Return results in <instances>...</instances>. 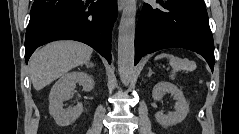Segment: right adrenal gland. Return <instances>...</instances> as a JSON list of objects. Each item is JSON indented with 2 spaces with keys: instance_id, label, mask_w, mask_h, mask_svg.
<instances>
[{
  "instance_id": "1",
  "label": "right adrenal gland",
  "mask_w": 239,
  "mask_h": 134,
  "mask_svg": "<svg viewBox=\"0 0 239 134\" xmlns=\"http://www.w3.org/2000/svg\"><path fill=\"white\" fill-rule=\"evenodd\" d=\"M86 66H87V67H93V66H94V64H93V63H91L90 61H88V62L86 63Z\"/></svg>"
}]
</instances>
